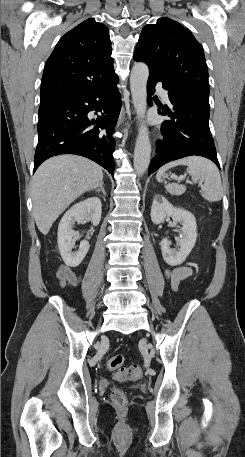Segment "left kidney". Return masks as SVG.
<instances>
[{"instance_id": "left-kidney-1", "label": "left kidney", "mask_w": 245, "mask_h": 457, "mask_svg": "<svg viewBox=\"0 0 245 457\" xmlns=\"http://www.w3.org/2000/svg\"><path fill=\"white\" fill-rule=\"evenodd\" d=\"M169 216H172L174 222H180L182 224V226H179L181 237H175V241H177L180 249H171L170 245L172 243L168 239H162L160 245L165 263L171 265V267H176V265L184 263L186 257H188L193 247H195L197 222L192 212L184 210V208H178V206H173L162 194H155L151 206L152 222L154 224H161Z\"/></svg>"}]
</instances>
